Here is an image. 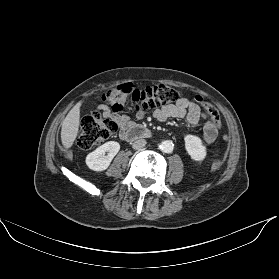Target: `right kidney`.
<instances>
[{
	"instance_id": "right-kidney-1",
	"label": "right kidney",
	"mask_w": 279,
	"mask_h": 279,
	"mask_svg": "<svg viewBox=\"0 0 279 279\" xmlns=\"http://www.w3.org/2000/svg\"><path fill=\"white\" fill-rule=\"evenodd\" d=\"M119 150L120 144L118 142L108 141L87 155L86 165L93 171H104L109 167Z\"/></svg>"
}]
</instances>
